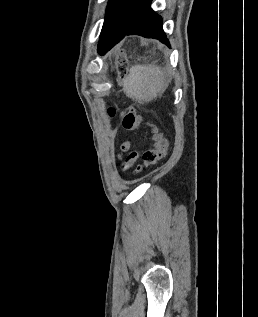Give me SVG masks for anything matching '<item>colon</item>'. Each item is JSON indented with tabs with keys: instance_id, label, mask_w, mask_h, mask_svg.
<instances>
[{
	"instance_id": "1",
	"label": "colon",
	"mask_w": 258,
	"mask_h": 317,
	"mask_svg": "<svg viewBox=\"0 0 258 317\" xmlns=\"http://www.w3.org/2000/svg\"><path fill=\"white\" fill-rule=\"evenodd\" d=\"M109 113L113 115L114 109H109ZM143 124L150 129V138L153 143L151 149L146 150L142 155V163L138 166L137 170L156 164L165 157L168 149V144L163 135L150 123L145 122L142 115L136 109H128L122 119V125L127 130H134L141 127Z\"/></svg>"
}]
</instances>
